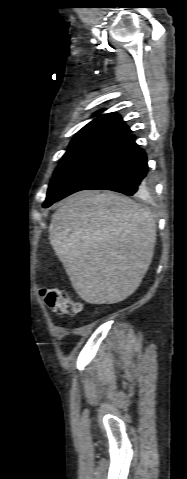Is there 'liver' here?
Masks as SVG:
<instances>
[{"mask_svg":"<svg viewBox=\"0 0 187 479\" xmlns=\"http://www.w3.org/2000/svg\"><path fill=\"white\" fill-rule=\"evenodd\" d=\"M49 240L85 302L115 304L137 290L150 266L156 221L126 196L81 191L59 203Z\"/></svg>","mask_w":187,"mask_h":479,"instance_id":"obj_1","label":"liver"}]
</instances>
